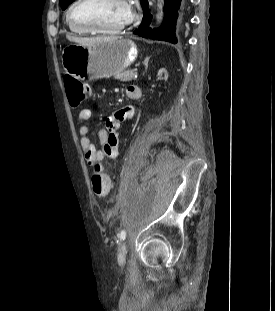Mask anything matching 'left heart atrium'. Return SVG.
Wrapping results in <instances>:
<instances>
[{"mask_svg": "<svg viewBox=\"0 0 275 311\" xmlns=\"http://www.w3.org/2000/svg\"><path fill=\"white\" fill-rule=\"evenodd\" d=\"M128 6V20L127 21H131L134 18V11L133 8L127 3Z\"/></svg>", "mask_w": 275, "mask_h": 311, "instance_id": "1", "label": "left heart atrium"}]
</instances>
